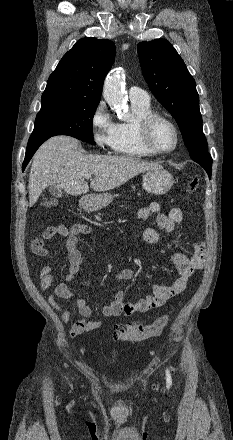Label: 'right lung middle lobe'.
I'll list each match as a JSON object with an SVG mask.
<instances>
[{
	"instance_id": "1",
	"label": "right lung middle lobe",
	"mask_w": 233,
	"mask_h": 440,
	"mask_svg": "<svg viewBox=\"0 0 233 440\" xmlns=\"http://www.w3.org/2000/svg\"><path fill=\"white\" fill-rule=\"evenodd\" d=\"M99 102L54 99L41 103L31 137L69 135L95 144L92 120Z\"/></svg>"
}]
</instances>
